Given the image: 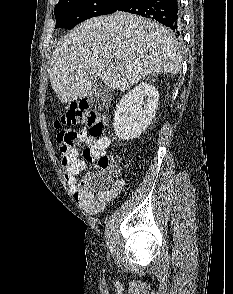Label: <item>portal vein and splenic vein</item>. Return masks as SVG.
I'll list each match as a JSON object with an SVG mask.
<instances>
[{
	"label": "portal vein and splenic vein",
	"instance_id": "portal-vein-and-splenic-vein-1",
	"mask_svg": "<svg viewBox=\"0 0 233 294\" xmlns=\"http://www.w3.org/2000/svg\"><path fill=\"white\" fill-rule=\"evenodd\" d=\"M114 64L112 62H110V66H113Z\"/></svg>",
	"mask_w": 233,
	"mask_h": 294
}]
</instances>
